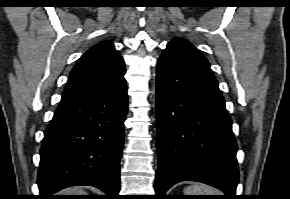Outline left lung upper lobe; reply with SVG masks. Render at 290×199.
Instances as JSON below:
<instances>
[{
	"instance_id": "left-lung-upper-lobe-1",
	"label": "left lung upper lobe",
	"mask_w": 290,
	"mask_h": 199,
	"mask_svg": "<svg viewBox=\"0 0 290 199\" xmlns=\"http://www.w3.org/2000/svg\"><path fill=\"white\" fill-rule=\"evenodd\" d=\"M165 51L172 52L180 56L184 61L213 74L207 59L186 39H172Z\"/></svg>"
}]
</instances>
